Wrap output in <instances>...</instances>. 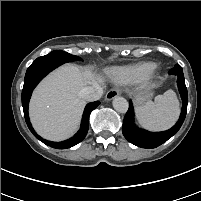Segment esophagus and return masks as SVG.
Masks as SVG:
<instances>
[{
	"label": "esophagus",
	"instance_id": "esophagus-1",
	"mask_svg": "<svg viewBox=\"0 0 201 201\" xmlns=\"http://www.w3.org/2000/svg\"><path fill=\"white\" fill-rule=\"evenodd\" d=\"M120 94V91L118 89H110L105 96V99L107 101H110L112 99H114L116 96H118Z\"/></svg>",
	"mask_w": 201,
	"mask_h": 201
}]
</instances>
